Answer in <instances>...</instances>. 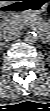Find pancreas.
<instances>
[{"label":"pancreas","instance_id":"cf45deb5","mask_svg":"<svg viewBox=\"0 0 50 111\" xmlns=\"http://www.w3.org/2000/svg\"><path fill=\"white\" fill-rule=\"evenodd\" d=\"M32 20L34 21L33 24L41 31L43 29V23L36 15H14L6 19L3 26L10 29H21Z\"/></svg>","mask_w":50,"mask_h":111}]
</instances>
